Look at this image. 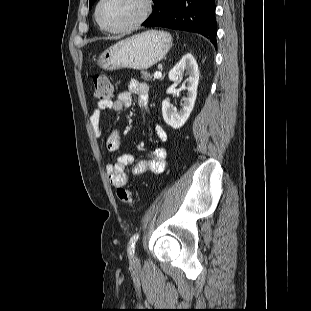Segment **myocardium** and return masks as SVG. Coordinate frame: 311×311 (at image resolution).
Wrapping results in <instances>:
<instances>
[{"label": "myocardium", "mask_w": 311, "mask_h": 311, "mask_svg": "<svg viewBox=\"0 0 311 311\" xmlns=\"http://www.w3.org/2000/svg\"><path fill=\"white\" fill-rule=\"evenodd\" d=\"M104 1L105 0L98 1L96 8H95V19L103 30L110 32V33H127V32H131L137 29L147 20L149 13H150V9H151L150 0H139L141 4V11L138 17L126 26L113 28V27L106 25L100 18V8L102 4L104 3Z\"/></svg>", "instance_id": "myocardium-1"}]
</instances>
